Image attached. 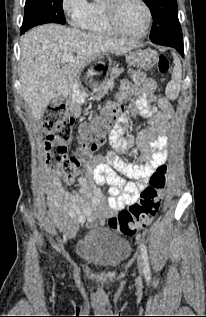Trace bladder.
I'll return each mask as SVG.
<instances>
[{"mask_svg": "<svg viewBox=\"0 0 206 317\" xmlns=\"http://www.w3.org/2000/svg\"><path fill=\"white\" fill-rule=\"evenodd\" d=\"M131 244L105 228H94L82 235L76 245L77 256L97 269H111L130 254Z\"/></svg>", "mask_w": 206, "mask_h": 317, "instance_id": "obj_1", "label": "bladder"}]
</instances>
